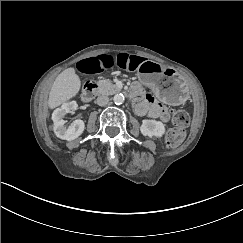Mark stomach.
Listing matches in <instances>:
<instances>
[{"mask_svg": "<svg viewBox=\"0 0 243 243\" xmlns=\"http://www.w3.org/2000/svg\"><path fill=\"white\" fill-rule=\"evenodd\" d=\"M138 79L151 88L164 103L180 105L188 97L184 80L171 67H162L153 61L143 62L138 69Z\"/></svg>", "mask_w": 243, "mask_h": 243, "instance_id": "stomach-1", "label": "stomach"}]
</instances>
